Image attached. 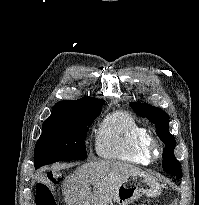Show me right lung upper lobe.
Instances as JSON below:
<instances>
[{
	"label": "right lung upper lobe",
	"instance_id": "right-lung-upper-lobe-1",
	"mask_svg": "<svg viewBox=\"0 0 199 205\" xmlns=\"http://www.w3.org/2000/svg\"><path fill=\"white\" fill-rule=\"evenodd\" d=\"M92 101L102 102L103 100L96 99L93 97H84V98H81L78 100L60 101V102L56 103L53 108H57V107L64 106V105H70V104H74V103H86V102H92Z\"/></svg>",
	"mask_w": 199,
	"mask_h": 205
}]
</instances>
